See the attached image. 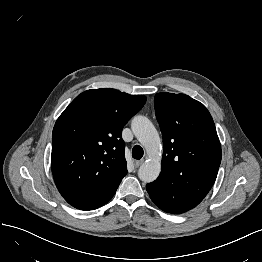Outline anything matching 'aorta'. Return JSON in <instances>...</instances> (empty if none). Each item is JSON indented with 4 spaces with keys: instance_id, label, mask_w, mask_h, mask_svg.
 <instances>
[{
    "instance_id": "obj_1",
    "label": "aorta",
    "mask_w": 262,
    "mask_h": 262,
    "mask_svg": "<svg viewBox=\"0 0 262 262\" xmlns=\"http://www.w3.org/2000/svg\"><path fill=\"white\" fill-rule=\"evenodd\" d=\"M131 128L147 151L148 159L139 167L138 177L145 183L156 180L161 171V140L153 123L145 116H136Z\"/></svg>"
}]
</instances>
